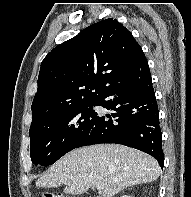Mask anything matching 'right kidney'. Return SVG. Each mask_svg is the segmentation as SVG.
Segmentation results:
<instances>
[{"label": "right kidney", "instance_id": "ca27d5eb", "mask_svg": "<svg viewBox=\"0 0 191 197\" xmlns=\"http://www.w3.org/2000/svg\"><path fill=\"white\" fill-rule=\"evenodd\" d=\"M121 197H134V196H130V195H122Z\"/></svg>", "mask_w": 191, "mask_h": 197}]
</instances>
